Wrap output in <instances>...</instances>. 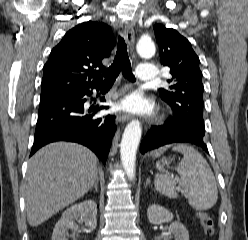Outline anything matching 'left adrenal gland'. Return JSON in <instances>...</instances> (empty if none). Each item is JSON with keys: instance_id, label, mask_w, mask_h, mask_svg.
<instances>
[{"instance_id": "obj_1", "label": "left adrenal gland", "mask_w": 248, "mask_h": 240, "mask_svg": "<svg viewBox=\"0 0 248 240\" xmlns=\"http://www.w3.org/2000/svg\"><path fill=\"white\" fill-rule=\"evenodd\" d=\"M150 184V180L148 179L147 181H146V185H149Z\"/></svg>"}]
</instances>
